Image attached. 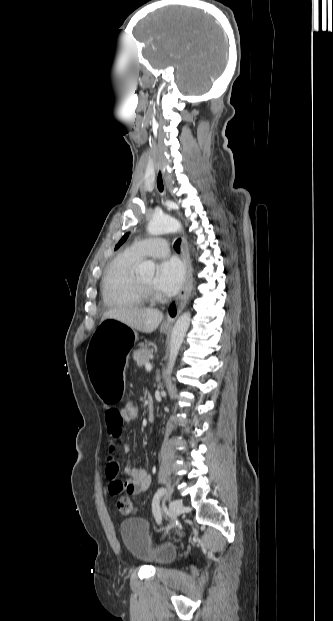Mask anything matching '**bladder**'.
<instances>
[{
  "label": "bladder",
  "mask_w": 333,
  "mask_h": 621,
  "mask_svg": "<svg viewBox=\"0 0 333 621\" xmlns=\"http://www.w3.org/2000/svg\"><path fill=\"white\" fill-rule=\"evenodd\" d=\"M120 536L125 550L135 559L163 566L175 558L176 551L170 543H158L151 533L149 523L141 518H127L120 523Z\"/></svg>",
  "instance_id": "obj_1"
}]
</instances>
